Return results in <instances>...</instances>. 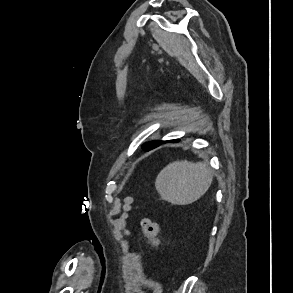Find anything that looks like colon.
Masks as SVG:
<instances>
[{
  "label": "colon",
  "mask_w": 293,
  "mask_h": 293,
  "mask_svg": "<svg viewBox=\"0 0 293 293\" xmlns=\"http://www.w3.org/2000/svg\"><path fill=\"white\" fill-rule=\"evenodd\" d=\"M134 203V198L132 196H129L125 199V204H124V210L125 212H128L132 205ZM125 215L123 216V218ZM141 227H142V232L147 240V243L151 246H157L158 240H157V235H158V226L155 222H153L150 219H143L141 222Z\"/></svg>",
  "instance_id": "1"
}]
</instances>
